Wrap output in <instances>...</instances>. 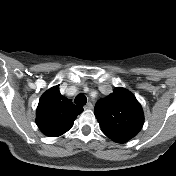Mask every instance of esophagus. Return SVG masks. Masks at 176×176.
<instances>
[{"label": "esophagus", "instance_id": "1", "mask_svg": "<svg viewBox=\"0 0 176 176\" xmlns=\"http://www.w3.org/2000/svg\"><path fill=\"white\" fill-rule=\"evenodd\" d=\"M84 108L87 110H91V109H93V105H92V103L89 102L84 106Z\"/></svg>", "mask_w": 176, "mask_h": 176}]
</instances>
